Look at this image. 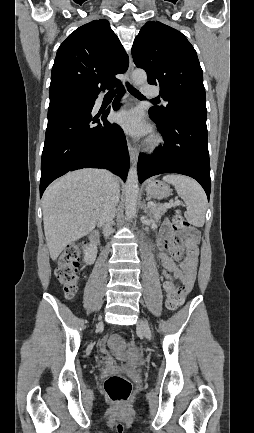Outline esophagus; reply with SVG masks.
<instances>
[{"label": "esophagus", "mask_w": 254, "mask_h": 433, "mask_svg": "<svg viewBox=\"0 0 254 433\" xmlns=\"http://www.w3.org/2000/svg\"><path fill=\"white\" fill-rule=\"evenodd\" d=\"M133 70H134V63L132 61V58H130L129 67H128V70L126 72L127 79H128L130 84L133 83V81H132ZM127 146H128V151H129L131 162L135 164L137 157H138V149L136 146L131 144V142L129 140H127Z\"/></svg>", "instance_id": "obj_1"}]
</instances>
